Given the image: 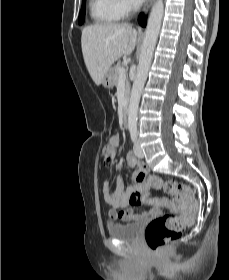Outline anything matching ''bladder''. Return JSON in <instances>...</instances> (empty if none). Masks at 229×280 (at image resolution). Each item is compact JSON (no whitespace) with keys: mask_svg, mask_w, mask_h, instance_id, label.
Segmentation results:
<instances>
[{"mask_svg":"<svg viewBox=\"0 0 229 280\" xmlns=\"http://www.w3.org/2000/svg\"><path fill=\"white\" fill-rule=\"evenodd\" d=\"M143 226V220L132 221L129 223H119L115 225H109V234L122 241L136 240L141 233Z\"/></svg>","mask_w":229,"mask_h":280,"instance_id":"31cf9c89","label":"bladder"}]
</instances>
